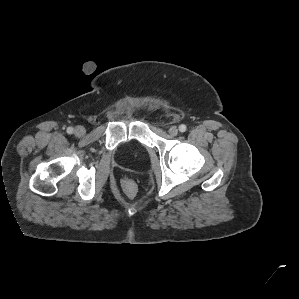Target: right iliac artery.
<instances>
[{
  "mask_svg": "<svg viewBox=\"0 0 299 299\" xmlns=\"http://www.w3.org/2000/svg\"><path fill=\"white\" fill-rule=\"evenodd\" d=\"M73 131H74V129H73L72 127H68V128H67V133H68V134H72Z\"/></svg>",
  "mask_w": 299,
  "mask_h": 299,
  "instance_id": "1",
  "label": "right iliac artery"
}]
</instances>
